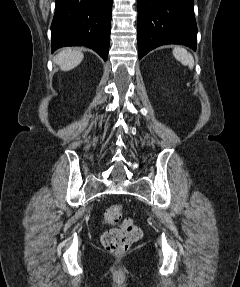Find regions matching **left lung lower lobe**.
Here are the masks:
<instances>
[{
	"mask_svg": "<svg viewBox=\"0 0 240 287\" xmlns=\"http://www.w3.org/2000/svg\"><path fill=\"white\" fill-rule=\"evenodd\" d=\"M138 57L164 44H182L196 50L194 0H137Z\"/></svg>",
	"mask_w": 240,
	"mask_h": 287,
	"instance_id": "0a47b994",
	"label": "left lung lower lobe"
}]
</instances>
